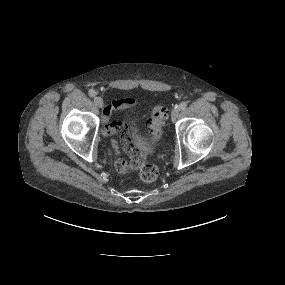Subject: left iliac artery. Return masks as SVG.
<instances>
[{
	"instance_id": "obj_1",
	"label": "left iliac artery",
	"mask_w": 285,
	"mask_h": 285,
	"mask_svg": "<svg viewBox=\"0 0 285 285\" xmlns=\"http://www.w3.org/2000/svg\"><path fill=\"white\" fill-rule=\"evenodd\" d=\"M178 107L180 110L185 109L187 107V102H181Z\"/></svg>"
}]
</instances>
